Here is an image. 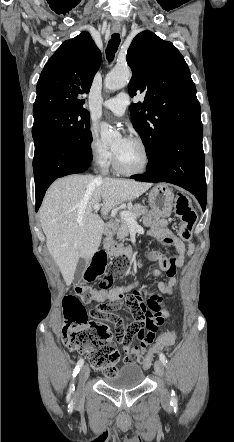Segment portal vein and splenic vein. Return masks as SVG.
Masks as SVG:
<instances>
[{"mask_svg": "<svg viewBox=\"0 0 234 442\" xmlns=\"http://www.w3.org/2000/svg\"><path fill=\"white\" fill-rule=\"evenodd\" d=\"M93 209L95 212H97L100 209V204L99 203L94 204ZM120 218L125 220L129 224L135 223V216L128 211L120 212Z\"/></svg>", "mask_w": 234, "mask_h": 442, "instance_id": "18ae733b", "label": "portal vein and splenic vein"}]
</instances>
